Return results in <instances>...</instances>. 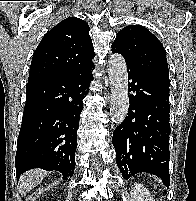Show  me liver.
I'll list each match as a JSON object with an SVG mask.
<instances>
[{
	"label": "liver",
	"mask_w": 196,
	"mask_h": 201,
	"mask_svg": "<svg viewBox=\"0 0 196 201\" xmlns=\"http://www.w3.org/2000/svg\"><path fill=\"white\" fill-rule=\"evenodd\" d=\"M44 179L43 171L39 169L29 170L19 180V191L25 195Z\"/></svg>",
	"instance_id": "1"
}]
</instances>
